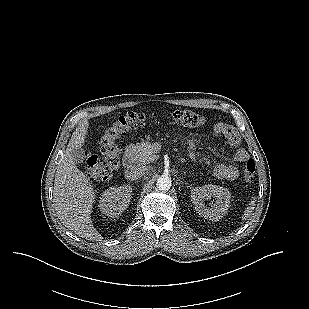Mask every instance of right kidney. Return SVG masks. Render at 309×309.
<instances>
[{
    "label": "right kidney",
    "mask_w": 309,
    "mask_h": 309,
    "mask_svg": "<svg viewBox=\"0 0 309 309\" xmlns=\"http://www.w3.org/2000/svg\"><path fill=\"white\" fill-rule=\"evenodd\" d=\"M131 193L132 187L129 185L110 187L100 198V211L109 217H118L128 207Z\"/></svg>",
    "instance_id": "obj_1"
}]
</instances>
